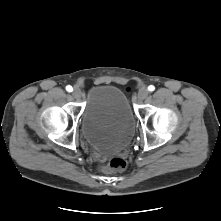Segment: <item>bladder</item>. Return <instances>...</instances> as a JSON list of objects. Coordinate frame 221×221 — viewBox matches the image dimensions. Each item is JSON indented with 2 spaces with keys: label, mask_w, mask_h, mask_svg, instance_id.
Returning <instances> with one entry per match:
<instances>
[{
  "label": "bladder",
  "mask_w": 221,
  "mask_h": 221,
  "mask_svg": "<svg viewBox=\"0 0 221 221\" xmlns=\"http://www.w3.org/2000/svg\"><path fill=\"white\" fill-rule=\"evenodd\" d=\"M80 127L96 152L111 155L122 151L135 130V117L122 90L107 84L93 86L86 96Z\"/></svg>",
  "instance_id": "obj_1"
}]
</instances>
